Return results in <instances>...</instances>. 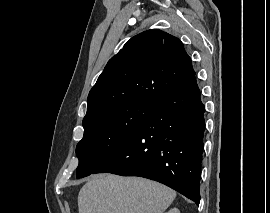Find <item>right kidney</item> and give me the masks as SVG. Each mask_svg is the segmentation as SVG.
Returning a JSON list of instances; mask_svg holds the SVG:
<instances>
[{"mask_svg":"<svg viewBox=\"0 0 270 213\" xmlns=\"http://www.w3.org/2000/svg\"><path fill=\"white\" fill-rule=\"evenodd\" d=\"M166 213H180V211L178 210V208H172Z\"/></svg>","mask_w":270,"mask_h":213,"instance_id":"1","label":"right kidney"}]
</instances>
